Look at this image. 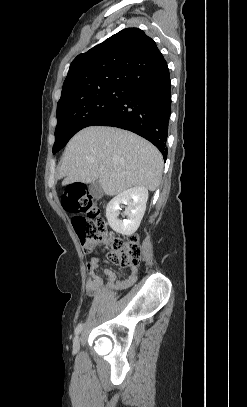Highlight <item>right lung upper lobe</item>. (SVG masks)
I'll list each match as a JSON object with an SVG mask.
<instances>
[{
  "instance_id": "cb5924a9",
  "label": "right lung upper lobe",
  "mask_w": 247,
  "mask_h": 407,
  "mask_svg": "<svg viewBox=\"0 0 247 407\" xmlns=\"http://www.w3.org/2000/svg\"><path fill=\"white\" fill-rule=\"evenodd\" d=\"M166 65L156 43L138 28L114 34L70 65L57 107L110 87H130Z\"/></svg>"
}]
</instances>
